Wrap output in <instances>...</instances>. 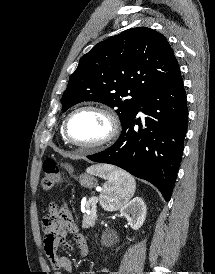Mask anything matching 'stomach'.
<instances>
[{
    "label": "stomach",
    "instance_id": "1",
    "mask_svg": "<svg viewBox=\"0 0 215 274\" xmlns=\"http://www.w3.org/2000/svg\"><path fill=\"white\" fill-rule=\"evenodd\" d=\"M65 168L72 173L73 167L71 165L66 164ZM79 183L81 186L86 188H93L97 185V180L94 178V176L89 174H81L79 177Z\"/></svg>",
    "mask_w": 215,
    "mask_h": 274
}]
</instances>
